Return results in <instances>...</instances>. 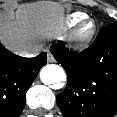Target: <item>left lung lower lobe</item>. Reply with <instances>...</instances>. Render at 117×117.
Here are the masks:
<instances>
[{
    "label": "left lung lower lobe",
    "instance_id": "0a47b994",
    "mask_svg": "<svg viewBox=\"0 0 117 117\" xmlns=\"http://www.w3.org/2000/svg\"><path fill=\"white\" fill-rule=\"evenodd\" d=\"M51 52L67 73V86L56 97L65 117L117 114V22L102 29L80 53L69 52L61 42Z\"/></svg>",
    "mask_w": 117,
    "mask_h": 117
}]
</instances>
